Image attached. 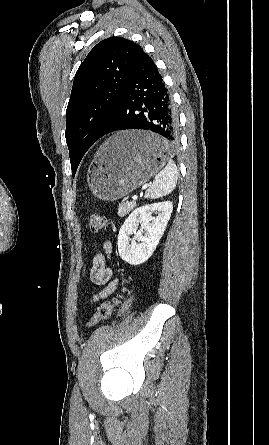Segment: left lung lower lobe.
Listing matches in <instances>:
<instances>
[{
  "label": "left lung lower lobe",
  "instance_id": "1",
  "mask_svg": "<svg viewBox=\"0 0 269 445\" xmlns=\"http://www.w3.org/2000/svg\"><path fill=\"white\" fill-rule=\"evenodd\" d=\"M125 129L152 131L171 146L178 142V119L171 95L146 53L130 76L115 114L100 137Z\"/></svg>",
  "mask_w": 269,
  "mask_h": 445
}]
</instances>
